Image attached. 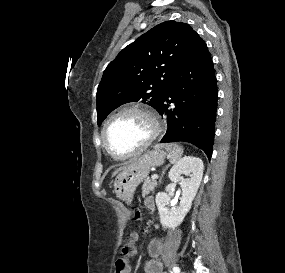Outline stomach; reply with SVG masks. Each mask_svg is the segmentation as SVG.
<instances>
[{
    "label": "stomach",
    "mask_w": 285,
    "mask_h": 273,
    "mask_svg": "<svg viewBox=\"0 0 285 273\" xmlns=\"http://www.w3.org/2000/svg\"><path fill=\"white\" fill-rule=\"evenodd\" d=\"M165 157L166 152L156 147L127 165L114 181L116 195L129 204L137 186L148 177L150 169L162 165Z\"/></svg>",
    "instance_id": "0dacf381"
}]
</instances>
